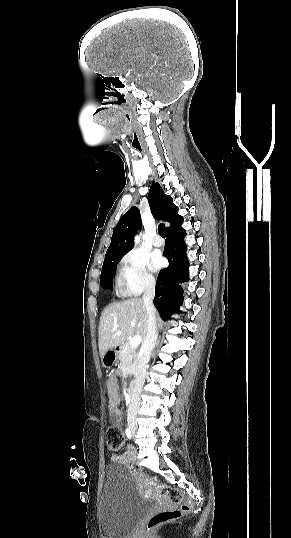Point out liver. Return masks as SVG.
Wrapping results in <instances>:
<instances>
[{
    "label": "liver",
    "instance_id": "1",
    "mask_svg": "<svg viewBox=\"0 0 291 538\" xmlns=\"http://www.w3.org/2000/svg\"><path fill=\"white\" fill-rule=\"evenodd\" d=\"M147 328V310L141 298L110 304L100 317L98 345L101 358L107 350L122 345L133 334L144 340Z\"/></svg>",
    "mask_w": 291,
    "mask_h": 538
}]
</instances>
